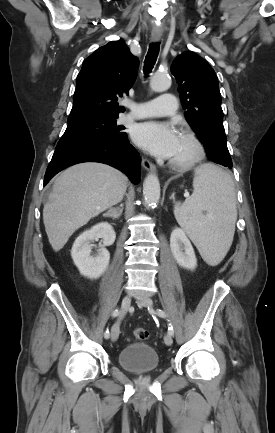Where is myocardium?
<instances>
[{
	"instance_id": "obj_1",
	"label": "myocardium",
	"mask_w": 275,
	"mask_h": 433,
	"mask_svg": "<svg viewBox=\"0 0 275 433\" xmlns=\"http://www.w3.org/2000/svg\"><path fill=\"white\" fill-rule=\"evenodd\" d=\"M181 135L188 138L194 146L193 156L184 162L169 160L168 164L171 168L178 171H188L197 166L205 155V146L200 137L191 129H183Z\"/></svg>"
}]
</instances>
